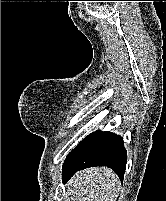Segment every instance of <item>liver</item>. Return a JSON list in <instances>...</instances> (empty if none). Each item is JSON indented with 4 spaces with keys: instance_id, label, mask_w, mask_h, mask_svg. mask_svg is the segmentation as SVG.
I'll return each mask as SVG.
<instances>
[{
    "instance_id": "6515ba94",
    "label": "liver",
    "mask_w": 166,
    "mask_h": 201,
    "mask_svg": "<svg viewBox=\"0 0 166 201\" xmlns=\"http://www.w3.org/2000/svg\"><path fill=\"white\" fill-rule=\"evenodd\" d=\"M67 187L71 201H116L120 180L109 168L92 167L77 172Z\"/></svg>"
}]
</instances>
